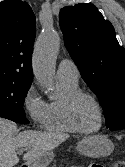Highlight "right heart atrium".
<instances>
[{
  "mask_svg": "<svg viewBox=\"0 0 125 167\" xmlns=\"http://www.w3.org/2000/svg\"><path fill=\"white\" fill-rule=\"evenodd\" d=\"M47 105L48 103L43 100L36 86L34 84L29 85L22 99V108L35 126H43L47 114Z\"/></svg>",
  "mask_w": 125,
  "mask_h": 167,
  "instance_id": "d8ad5b80",
  "label": "right heart atrium"
}]
</instances>
